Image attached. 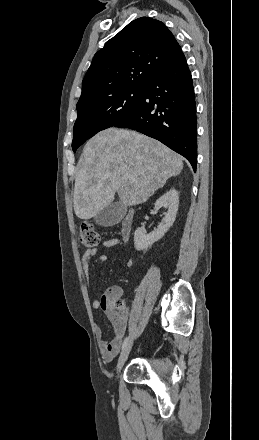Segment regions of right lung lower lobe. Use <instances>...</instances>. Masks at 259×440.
Listing matches in <instances>:
<instances>
[{
  "label": "right lung lower lobe",
  "instance_id": "98d812e1",
  "mask_svg": "<svg viewBox=\"0 0 259 440\" xmlns=\"http://www.w3.org/2000/svg\"><path fill=\"white\" fill-rule=\"evenodd\" d=\"M114 127L130 128L159 140L188 159L196 171V106L184 55L154 78L136 110Z\"/></svg>",
  "mask_w": 259,
  "mask_h": 440
}]
</instances>
